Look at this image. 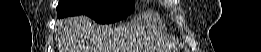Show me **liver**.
I'll use <instances>...</instances> for the list:
<instances>
[{"label": "liver", "instance_id": "liver-1", "mask_svg": "<svg viewBox=\"0 0 261 52\" xmlns=\"http://www.w3.org/2000/svg\"><path fill=\"white\" fill-rule=\"evenodd\" d=\"M59 25L63 52H116L118 29L97 26L83 15L64 19Z\"/></svg>", "mask_w": 261, "mask_h": 52}]
</instances>
